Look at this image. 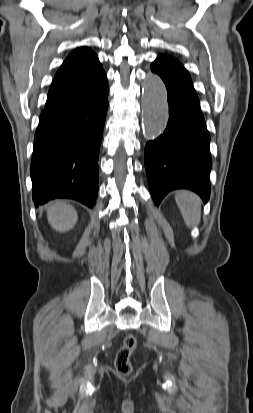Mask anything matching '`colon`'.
Returning a JSON list of instances; mask_svg holds the SVG:
<instances>
[{
    "mask_svg": "<svg viewBox=\"0 0 253 413\" xmlns=\"http://www.w3.org/2000/svg\"><path fill=\"white\" fill-rule=\"evenodd\" d=\"M137 348V339L129 334L124 338L123 344L117 352L115 367L121 375H129L132 372L131 356Z\"/></svg>",
    "mask_w": 253,
    "mask_h": 413,
    "instance_id": "5ec220e1",
    "label": "colon"
}]
</instances>
